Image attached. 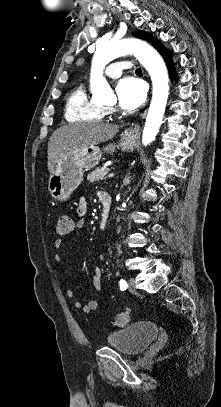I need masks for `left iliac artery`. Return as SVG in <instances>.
I'll return each mask as SVG.
<instances>
[{
	"instance_id": "44dca946",
	"label": "left iliac artery",
	"mask_w": 221,
	"mask_h": 407,
	"mask_svg": "<svg viewBox=\"0 0 221 407\" xmlns=\"http://www.w3.org/2000/svg\"><path fill=\"white\" fill-rule=\"evenodd\" d=\"M119 286H120V290L123 291V290H125L127 288L128 284H127V282L125 280L121 279L120 282H119Z\"/></svg>"
}]
</instances>
